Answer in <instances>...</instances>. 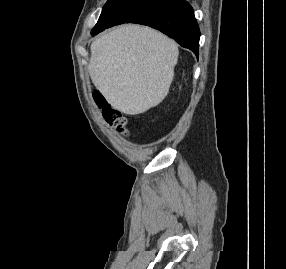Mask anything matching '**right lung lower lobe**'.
Returning <instances> with one entry per match:
<instances>
[{
	"mask_svg": "<svg viewBox=\"0 0 286 269\" xmlns=\"http://www.w3.org/2000/svg\"><path fill=\"white\" fill-rule=\"evenodd\" d=\"M126 23L153 27L190 49L198 57L200 30L193 8L184 0H160ZM100 31L92 32L93 35Z\"/></svg>",
	"mask_w": 286,
	"mask_h": 269,
	"instance_id": "98d812e1",
	"label": "right lung lower lobe"
}]
</instances>
